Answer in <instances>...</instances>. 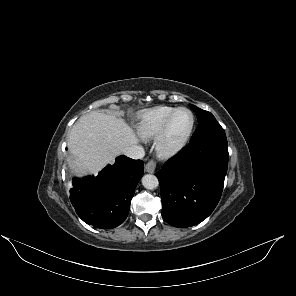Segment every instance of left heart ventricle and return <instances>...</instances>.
<instances>
[{
	"label": "left heart ventricle",
	"instance_id": "b2bd125f",
	"mask_svg": "<svg viewBox=\"0 0 296 296\" xmlns=\"http://www.w3.org/2000/svg\"><path fill=\"white\" fill-rule=\"evenodd\" d=\"M191 125V115L186 111H180L174 118L170 131L169 141L177 142L183 137Z\"/></svg>",
	"mask_w": 296,
	"mask_h": 296
}]
</instances>
